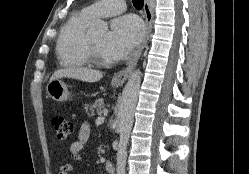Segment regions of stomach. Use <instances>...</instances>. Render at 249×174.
Masks as SVG:
<instances>
[{"instance_id":"1","label":"stomach","mask_w":249,"mask_h":174,"mask_svg":"<svg viewBox=\"0 0 249 174\" xmlns=\"http://www.w3.org/2000/svg\"><path fill=\"white\" fill-rule=\"evenodd\" d=\"M46 90L48 96L57 102L66 101L71 97L67 84L59 79L51 80Z\"/></svg>"}]
</instances>
